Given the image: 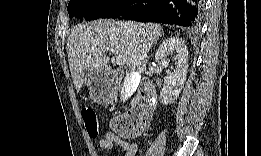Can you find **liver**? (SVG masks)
<instances>
[{"label":"liver","mask_w":261,"mask_h":156,"mask_svg":"<svg viewBox=\"0 0 261 156\" xmlns=\"http://www.w3.org/2000/svg\"><path fill=\"white\" fill-rule=\"evenodd\" d=\"M162 33L158 24L134 21H98L77 25L67 41V54L74 86L80 91L85 71L110 72L107 52L123 58L136 73L146 69L147 53Z\"/></svg>","instance_id":"1"}]
</instances>
